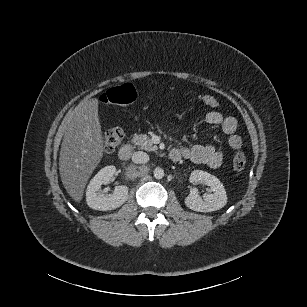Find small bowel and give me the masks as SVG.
I'll return each mask as SVG.
<instances>
[{
    "instance_id": "small-bowel-1",
    "label": "small bowel",
    "mask_w": 307,
    "mask_h": 307,
    "mask_svg": "<svg viewBox=\"0 0 307 307\" xmlns=\"http://www.w3.org/2000/svg\"><path fill=\"white\" fill-rule=\"evenodd\" d=\"M206 121L214 126H220L222 130L230 135L229 145L235 148L238 143H243L240 136L234 134L237 129V120L231 116H223L219 111H210L206 115ZM175 158L173 161L182 159L190 160L197 164L206 165L210 168H217L223 161V153L214 145H194L173 149Z\"/></svg>"
}]
</instances>
